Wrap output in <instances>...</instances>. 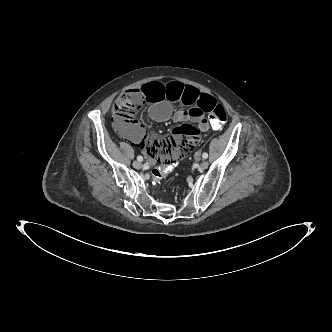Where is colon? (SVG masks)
I'll return each instance as SVG.
<instances>
[{
  "mask_svg": "<svg viewBox=\"0 0 332 332\" xmlns=\"http://www.w3.org/2000/svg\"><path fill=\"white\" fill-rule=\"evenodd\" d=\"M143 104L144 99L141 97L139 90H129L119 95L112 108L116 128L121 130L132 129L135 124L134 117L142 108ZM208 118L212 127L218 129L226 123L227 113L222 105L215 103L208 111ZM179 164V160L174 157L170 158L168 163L160 162L152 169L153 179L156 181L164 179L174 169H177Z\"/></svg>",
  "mask_w": 332,
  "mask_h": 332,
  "instance_id": "obj_1",
  "label": "colon"
}]
</instances>
